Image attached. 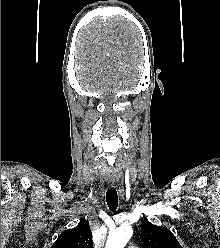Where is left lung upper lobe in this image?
I'll return each instance as SVG.
<instances>
[{"mask_svg": "<svg viewBox=\"0 0 220 248\" xmlns=\"http://www.w3.org/2000/svg\"><path fill=\"white\" fill-rule=\"evenodd\" d=\"M141 228L144 248H182L167 228L153 225L147 219L142 222Z\"/></svg>", "mask_w": 220, "mask_h": 248, "instance_id": "left-lung-upper-lobe-1", "label": "left lung upper lobe"}]
</instances>
